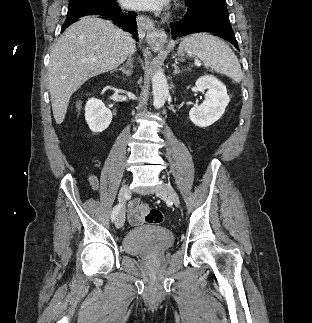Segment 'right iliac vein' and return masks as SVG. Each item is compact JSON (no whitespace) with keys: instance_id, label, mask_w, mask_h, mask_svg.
I'll list each match as a JSON object with an SVG mask.
<instances>
[{"instance_id":"63e3f726","label":"right iliac vein","mask_w":312,"mask_h":323,"mask_svg":"<svg viewBox=\"0 0 312 323\" xmlns=\"http://www.w3.org/2000/svg\"><path fill=\"white\" fill-rule=\"evenodd\" d=\"M129 196V188L127 184H124L120 191H119V195H118V200L122 205L121 210L119 211L118 215H117V219L115 222L116 228H121L124 225L125 222V210H124V203L127 199V197Z\"/></svg>"}]
</instances>
